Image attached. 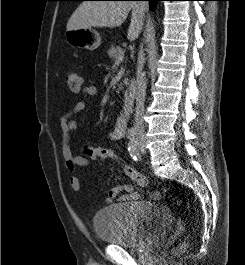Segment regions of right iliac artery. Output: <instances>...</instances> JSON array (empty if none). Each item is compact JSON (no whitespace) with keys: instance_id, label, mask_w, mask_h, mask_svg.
<instances>
[{"instance_id":"right-iliac-artery-1","label":"right iliac artery","mask_w":245,"mask_h":265,"mask_svg":"<svg viewBox=\"0 0 245 265\" xmlns=\"http://www.w3.org/2000/svg\"><path fill=\"white\" fill-rule=\"evenodd\" d=\"M134 136H135V132L132 130H129L128 134H127V138L132 139V138H134Z\"/></svg>"}]
</instances>
